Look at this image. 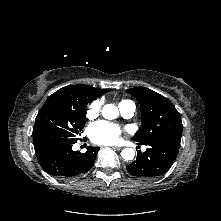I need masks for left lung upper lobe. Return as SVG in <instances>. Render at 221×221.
Listing matches in <instances>:
<instances>
[{"instance_id":"5c2ea615","label":"left lung upper lobe","mask_w":221,"mask_h":221,"mask_svg":"<svg viewBox=\"0 0 221 221\" xmlns=\"http://www.w3.org/2000/svg\"><path fill=\"white\" fill-rule=\"evenodd\" d=\"M141 105L142 125L132 140L142 144L159 137L181 139L182 121L174 105L164 96L145 87L127 89Z\"/></svg>"}]
</instances>
